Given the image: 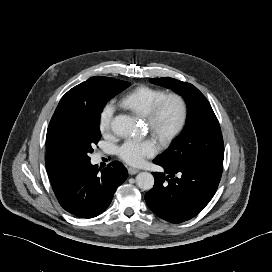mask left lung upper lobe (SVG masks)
Here are the masks:
<instances>
[{"instance_id":"1","label":"left lung upper lobe","mask_w":272,"mask_h":272,"mask_svg":"<svg viewBox=\"0 0 272 272\" xmlns=\"http://www.w3.org/2000/svg\"><path fill=\"white\" fill-rule=\"evenodd\" d=\"M150 81L182 95L188 106L184 131L170 148L155 160L165 164L223 161L224 143L221 129L205 96L192 84L170 77L153 78Z\"/></svg>"}]
</instances>
